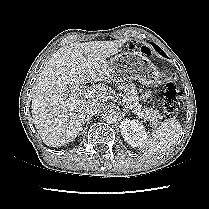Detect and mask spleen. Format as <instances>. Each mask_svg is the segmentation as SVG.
I'll list each match as a JSON object with an SVG mask.
<instances>
[{
    "mask_svg": "<svg viewBox=\"0 0 209 209\" xmlns=\"http://www.w3.org/2000/svg\"><path fill=\"white\" fill-rule=\"evenodd\" d=\"M182 133V126L176 119L161 123L144 141L141 150L144 154L155 155L173 146Z\"/></svg>",
    "mask_w": 209,
    "mask_h": 209,
    "instance_id": "obj_1",
    "label": "spleen"
}]
</instances>
